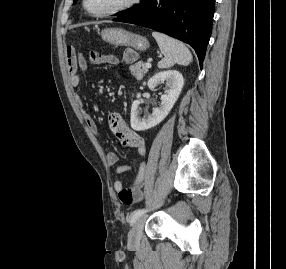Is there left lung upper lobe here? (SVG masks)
<instances>
[{"label": "left lung upper lobe", "instance_id": "obj_1", "mask_svg": "<svg viewBox=\"0 0 286 269\" xmlns=\"http://www.w3.org/2000/svg\"><path fill=\"white\" fill-rule=\"evenodd\" d=\"M76 0H74L75 2ZM149 0H141V3L138 7H131L130 9L128 10H125V11H122V13H124L123 15L119 16V17H122V16H125V15H129V14H132L140 9H142L148 2ZM118 17V18H119Z\"/></svg>", "mask_w": 286, "mask_h": 269}]
</instances>
